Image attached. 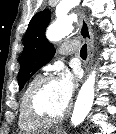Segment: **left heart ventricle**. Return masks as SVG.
I'll return each mask as SVG.
<instances>
[{
  "instance_id": "b2bd125f",
  "label": "left heart ventricle",
  "mask_w": 116,
  "mask_h": 134,
  "mask_svg": "<svg viewBox=\"0 0 116 134\" xmlns=\"http://www.w3.org/2000/svg\"><path fill=\"white\" fill-rule=\"evenodd\" d=\"M42 105L52 113H61L63 112L68 104L62 98L57 81H54L48 85L43 96H42Z\"/></svg>"
}]
</instances>
